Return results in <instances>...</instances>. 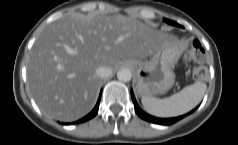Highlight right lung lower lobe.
<instances>
[{
    "mask_svg": "<svg viewBox=\"0 0 238 145\" xmlns=\"http://www.w3.org/2000/svg\"><path fill=\"white\" fill-rule=\"evenodd\" d=\"M100 99H101V93H100L99 99H98L97 104L94 107V109L87 116L83 117L82 119L78 120L75 123L79 124V123L86 122L87 120L93 118L97 114V112H98Z\"/></svg>",
    "mask_w": 238,
    "mask_h": 145,
    "instance_id": "obj_1",
    "label": "right lung lower lobe"
}]
</instances>
